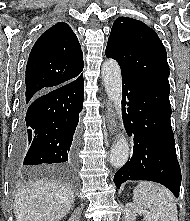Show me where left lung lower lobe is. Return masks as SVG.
Masks as SVG:
<instances>
[{
	"instance_id": "1",
	"label": "left lung lower lobe",
	"mask_w": 190,
	"mask_h": 221,
	"mask_svg": "<svg viewBox=\"0 0 190 221\" xmlns=\"http://www.w3.org/2000/svg\"><path fill=\"white\" fill-rule=\"evenodd\" d=\"M122 91L123 122L134 146L132 157L114 176L116 187L127 180H149L178 197L181 170L170 121V88L122 76Z\"/></svg>"
}]
</instances>
